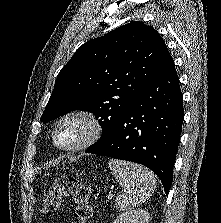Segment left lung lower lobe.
I'll list each match as a JSON object with an SVG mask.
<instances>
[{"instance_id":"0a47b994","label":"left lung lower lobe","mask_w":221,"mask_h":223,"mask_svg":"<svg viewBox=\"0 0 221 223\" xmlns=\"http://www.w3.org/2000/svg\"><path fill=\"white\" fill-rule=\"evenodd\" d=\"M183 96L170 53L104 140L85 152L142 164L169 193L183 122Z\"/></svg>"}]
</instances>
